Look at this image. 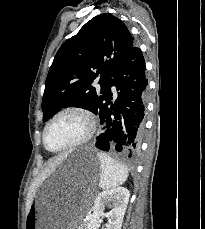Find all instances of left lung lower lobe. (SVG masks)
Masks as SVG:
<instances>
[{
	"label": "left lung lower lobe",
	"mask_w": 205,
	"mask_h": 229,
	"mask_svg": "<svg viewBox=\"0 0 205 229\" xmlns=\"http://www.w3.org/2000/svg\"><path fill=\"white\" fill-rule=\"evenodd\" d=\"M142 51L133 46L121 62L111 86H115L118 97L109 99L100 115L102 130L97 136L96 147L116 150L128 157H135L141 146L144 131V115L148 80ZM110 86V88H111Z\"/></svg>",
	"instance_id": "left-lung-lower-lobe-1"
}]
</instances>
